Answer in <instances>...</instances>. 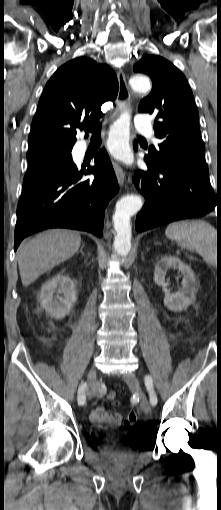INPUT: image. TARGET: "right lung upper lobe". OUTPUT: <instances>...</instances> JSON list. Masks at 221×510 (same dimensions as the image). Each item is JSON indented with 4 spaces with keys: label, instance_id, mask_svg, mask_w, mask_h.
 <instances>
[{
    "label": "right lung upper lobe",
    "instance_id": "obj_1",
    "mask_svg": "<svg viewBox=\"0 0 221 510\" xmlns=\"http://www.w3.org/2000/svg\"><path fill=\"white\" fill-rule=\"evenodd\" d=\"M118 80L106 64L78 57L61 66L47 82L28 138L29 151L45 147L72 148L76 128L97 123L101 105L114 100Z\"/></svg>",
    "mask_w": 221,
    "mask_h": 510
}]
</instances>
